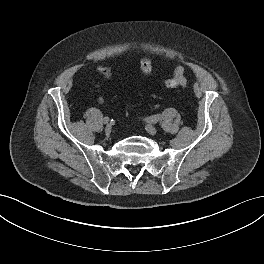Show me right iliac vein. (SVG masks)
<instances>
[{
  "instance_id": "obj_1",
  "label": "right iliac vein",
  "mask_w": 264,
  "mask_h": 264,
  "mask_svg": "<svg viewBox=\"0 0 264 264\" xmlns=\"http://www.w3.org/2000/svg\"><path fill=\"white\" fill-rule=\"evenodd\" d=\"M105 133H106L107 135H110V133H111V126H110V125H107V126H106V128H105Z\"/></svg>"
}]
</instances>
